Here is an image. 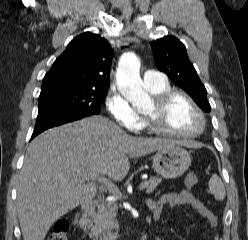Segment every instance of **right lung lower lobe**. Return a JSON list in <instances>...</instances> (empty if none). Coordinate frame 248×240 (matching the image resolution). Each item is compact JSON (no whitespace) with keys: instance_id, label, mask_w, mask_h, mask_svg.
I'll use <instances>...</instances> for the list:
<instances>
[{"instance_id":"right-lung-lower-lobe-1","label":"right lung lower lobe","mask_w":248,"mask_h":240,"mask_svg":"<svg viewBox=\"0 0 248 240\" xmlns=\"http://www.w3.org/2000/svg\"><path fill=\"white\" fill-rule=\"evenodd\" d=\"M85 116L82 115H66V114H45V115H38L36 120V125L31 136L33 139L39 133L43 132L44 130L62 125L68 122H72L75 120H79L84 118Z\"/></svg>"}]
</instances>
